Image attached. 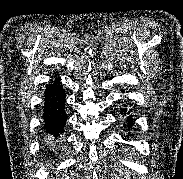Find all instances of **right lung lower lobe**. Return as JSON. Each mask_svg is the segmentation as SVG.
Returning <instances> with one entry per match:
<instances>
[{
    "instance_id": "1",
    "label": "right lung lower lobe",
    "mask_w": 183,
    "mask_h": 179,
    "mask_svg": "<svg viewBox=\"0 0 183 179\" xmlns=\"http://www.w3.org/2000/svg\"><path fill=\"white\" fill-rule=\"evenodd\" d=\"M65 92L59 79L47 85L44 95V133L49 145L56 143L62 135L67 120L65 113Z\"/></svg>"
}]
</instances>
